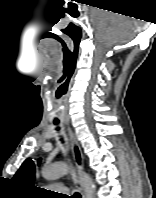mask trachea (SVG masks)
Segmentation results:
<instances>
[{"label":"trachea","mask_w":156,"mask_h":198,"mask_svg":"<svg viewBox=\"0 0 156 198\" xmlns=\"http://www.w3.org/2000/svg\"><path fill=\"white\" fill-rule=\"evenodd\" d=\"M54 124H57V122H55ZM59 128H57L58 130ZM72 198H81V195L79 193H75L74 196Z\"/></svg>","instance_id":"1"}]
</instances>
